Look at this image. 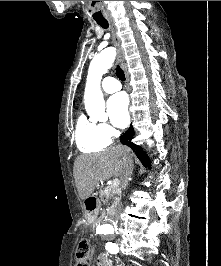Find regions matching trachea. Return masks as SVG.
<instances>
[{
    "mask_svg": "<svg viewBox=\"0 0 221 266\" xmlns=\"http://www.w3.org/2000/svg\"><path fill=\"white\" fill-rule=\"evenodd\" d=\"M97 24L100 25L104 29H107L109 27L107 20L97 21ZM116 75L121 81H125V74L119 65L116 67Z\"/></svg>",
    "mask_w": 221,
    "mask_h": 266,
    "instance_id": "obj_1",
    "label": "trachea"
}]
</instances>
